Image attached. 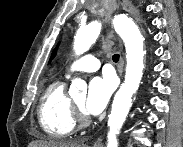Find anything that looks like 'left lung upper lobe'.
Returning a JSON list of instances; mask_svg holds the SVG:
<instances>
[{
    "instance_id": "left-lung-upper-lobe-1",
    "label": "left lung upper lobe",
    "mask_w": 183,
    "mask_h": 147,
    "mask_svg": "<svg viewBox=\"0 0 183 147\" xmlns=\"http://www.w3.org/2000/svg\"><path fill=\"white\" fill-rule=\"evenodd\" d=\"M55 52H56V50H54V52H53V54H52V56H51V59L54 57ZM51 59H50V60H51Z\"/></svg>"
}]
</instances>
